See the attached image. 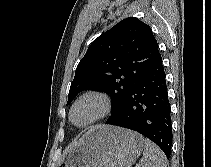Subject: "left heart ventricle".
<instances>
[{
	"label": "left heart ventricle",
	"instance_id": "obj_1",
	"mask_svg": "<svg viewBox=\"0 0 211 167\" xmlns=\"http://www.w3.org/2000/svg\"><path fill=\"white\" fill-rule=\"evenodd\" d=\"M100 111L95 100H85L78 104L73 112V120L77 124H84L93 119Z\"/></svg>",
	"mask_w": 211,
	"mask_h": 167
}]
</instances>
